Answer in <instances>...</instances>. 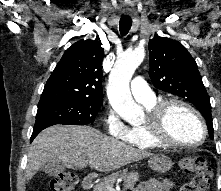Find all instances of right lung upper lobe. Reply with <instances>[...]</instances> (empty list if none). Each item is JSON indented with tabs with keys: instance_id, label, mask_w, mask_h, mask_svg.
<instances>
[{
	"instance_id": "cb5924a9",
	"label": "right lung upper lobe",
	"mask_w": 221,
	"mask_h": 191,
	"mask_svg": "<svg viewBox=\"0 0 221 191\" xmlns=\"http://www.w3.org/2000/svg\"><path fill=\"white\" fill-rule=\"evenodd\" d=\"M103 58L104 49L98 40L74 43L55 67L39 103L76 99L103 101Z\"/></svg>"
}]
</instances>
